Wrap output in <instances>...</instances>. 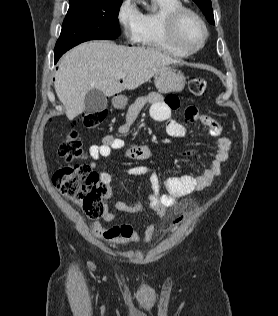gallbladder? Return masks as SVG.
Instances as JSON below:
<instances>
[{"label": "gallbladder", "mask_w": 278, "mask_h": 316, "mask_svg": "<svg viewBox=\"0 0 278 316\" xmlns=\"http://www.w3.org/2000/svg\"><path fill=\"white\" fill-rule=\"evenodd\" d=\"M84 104L87 113L100 112L107 107V98L102 91L93 88L86 93Z\"/></svg>", "instance_id": "gallbladder-1"}]
</instances>
